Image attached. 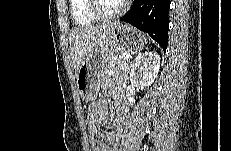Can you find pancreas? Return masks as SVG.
Here are the masks:
<instances>
[{
    "label": "pancreas",
    "mask_w": 231,
    "mask_h": 151,
    "mask_svg": "<svg viewBox=\"0 0 231 151\" xmlns=\"http://www.w3.org/2000/svg\"><path fill=\"white\" fill-rule=\"evenodd\" d=\"M129 69V60L124 57L123 53L115 55L108 62L104 70L102 71V76L116 74L119 72H126Z\"/></svg>",
    "instance_id": "pancreas-1"
}]
</instances>
